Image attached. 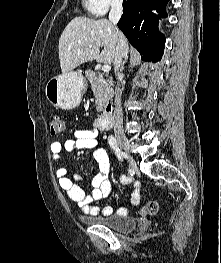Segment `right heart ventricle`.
<instances>
[{
    "label": "right heart ventricle",
    "mask_w": 221,
    "mask_h": 263,
    "mask_svg": "<svg viewBox=\"0 0 221 263\" xmlns=\"http://www.w3.org/2000/svg\"><path fill=\"white\" fill-rule=\"evenodd\" d=\"M85 3H86V6H87V4H88V0H85Z\"/></svg>",
    "instance_id": "right-heart-ventricle-1"
}]
</instances>
